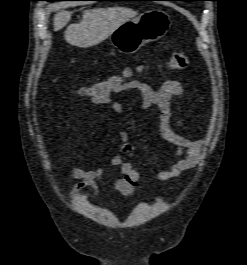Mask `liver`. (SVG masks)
I'll return each mask as SVG.
<instances>
[{"label": "liver", "mask_w": 247, "mask_h": 265, "mask_svg": "<svg viewBox=\"0 0 247 265\" xmlns=\"http://www.w3.org/2000/svg\"><path fill=\"white\" fill-rule=\"evenodd\" d=\"M59 6L63 7L65 4ZM136 14V11L125 7L84 10L82 20L79 23L70 24L64 32V38L72 46L92 47L107 39L118 27L134 18ZM71 16V11L59 10L53 19L54 31L65 27Z\"/></svg>", "instance_id": "liver-1"}]
</instances>
